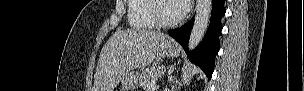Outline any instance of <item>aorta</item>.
Listing matches in <instances>:
<instances>
[{
    "mask_svg": "<svg viewBox=\"0 0 304 91\" xmlns=\"http://www.w3.org/2000/svg\"><path fill=\"white\" fill-rule=\"evenodd\" d=\"M212 0H197L196 15L188 41V49L194 50L203 39L210 21Z\"/></svg>",
    "mask_w": 304,
    "mask_h": 91,
    "instance_id": "obj_1",
    "label": "aorta"
}]
</instances>
